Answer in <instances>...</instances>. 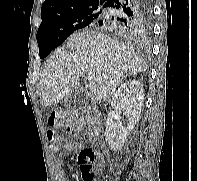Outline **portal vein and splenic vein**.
<instances>
[{"label": "portal vein and splenic vein", "mask_w": 197, "mask_h": 181, "mask_svg": "<svg viewBox=\"0 0 197 181\" xmlns=\"http://www.w3.org/2000/svg\"><path fill=\"white\" fill-rule=\"evenodd\" d=\"M94 77H95V74L94 73H92V72L87 73V79L89 81H93Z\"/></svg>", "instance_id": "1"}]
</instances>
